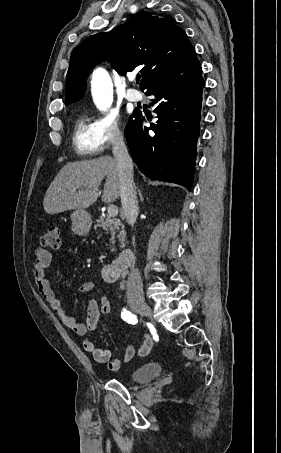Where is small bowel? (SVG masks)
I'll use <instances>...</instances> for the list:
<instances>
[{
    "mask_svg": "<svg viewBox=\"0 0 281 453\" xmlns=\"http://www.w3.org/2000/svg\"><path fill=\"white\" fill-rule=\"evenodd\" d=\"M52 261V254L44 247H36L33 250V275L35 278L36 288L43 299L56 313L58 318L70 329L75 331L78 336L85 337L89 332L100 328L103 318L109 314L111 309L110 301L102 295L101 289L94 282H85L80 287L82 293H93L88 306V316L86 323H82L71 316L65 306H63L56 294L52 291L50 283L46 277V269ZM99 297H96L98 296ZM143 344L136 348L134 345H129L122 359L112 358L111 352L108 349L101 348L89 338L82 341V347L86 352L100 363H107L110 370H119L122 363H128L134 357L136 351L148 355V350L151 347V339L149 335L143 336Z\"/></svg>",
    "mask_w": 281,
    "mask_h": 453,
    "instance_id": "c3829d8e",
    "label": "small bowel"
}]
</instances>
